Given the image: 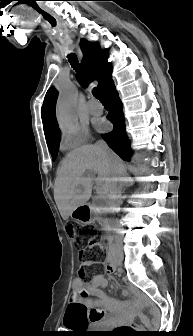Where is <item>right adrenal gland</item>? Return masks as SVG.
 I'll use <instances>...</instances> for the list:
<instances>
[{
    "instance_id": "right-adrenal-gland-1",
    "label": "right adrenal gland",
    "mask_w": 193,
    "mask_h": 336,
    "mask_svg": "<svg viewBox=\"0 0 193 336\" xmlns=\"http://www.w3.org/2000/svg\"><path fill=\"white\" fill-rule=\"evenodd\" d=\"M126 180L120 181L119 191L125 190L126 188L133 185V180L131 178H125Z\"/></svg>"
}]
</instances>
